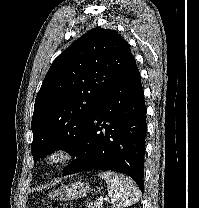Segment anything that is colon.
Instances as JSON below:
<instances>
[{
  "instance_id": "colon-1",
  "label": "colon",
  "mask_w": 199,
  "mask_h": 208,
  "mask_svg": "<svg viewBox=\"0 0 199 208\" xmlns=\"http://www.w3.org/2000/svg\"><path fill=\"white\" fill-rule=\"evenodd\" d=\"M59 205L60 204H58V205H50V206H48V208H60Z\"/></svg>"
}]
</instances>
